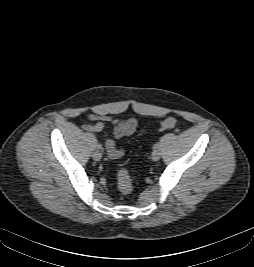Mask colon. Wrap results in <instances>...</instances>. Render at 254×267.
I'll use <instances>...</instances> for the list:
<instances>
[{
  "mask_svg": "<svg viewBox=\"0 0 254 267\" xmlns=\"http://www.w3.org/2000/svg\"><path fill=\"white\" fill-rule=\"evenodd\" d=\"M175 124L176 119L173 117H168L160 123V130L164 131L167 129H171L175 126ZM117 185L119 191L122 194H129L133 190L132 179L129 175V172L124 168L120 169L117 172Z\"/></svg>",
  "mask_w": 254,
  "mask_h": 267,
  "instance_id": "5ec220e1",
  "label": "colon"
}]
</instances>
